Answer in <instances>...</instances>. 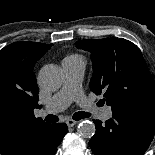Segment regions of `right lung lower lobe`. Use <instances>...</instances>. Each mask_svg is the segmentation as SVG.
Wrapping results in <instances>:
<instances>
[{
	"label": "right lung lower lobe",
	"mask_w": 155,
	"mask_h": 155,
	"mask_svg": "<svg viewBox=\"0 0 155 155\" xmlns=\"http://www.w3.org/2000/svg\"><path fill=\"white\" fill-rule=\"evenodd\" d=\"M67 130L64 123L50 124L38 139L32 155H54Z\"/></svg>",
	"instance_id": "right-lung-lower-lobe-1"
}]
</instances>
